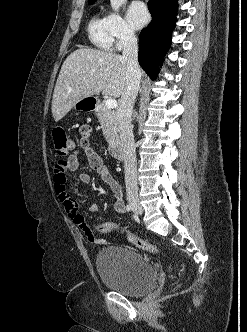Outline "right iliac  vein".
Returning <instances> with one entry per match:
<instances>
[{
    "label": "right iliac vein",
    "mask_w": 247,
    "mask_h": 332,
    "mask_svg": "<svg viewBox=\"0 0 247 332\" xmlns=\"http://www.w3.org/2000/svg\"><path fill=\"white\" fill-rule=\"evenodd\" d=\"M130 205L137 214L142 215L143 209L137 200H131Z\"/></svg>",
    "instance_id": "63e3f726"
}]
</instances>
